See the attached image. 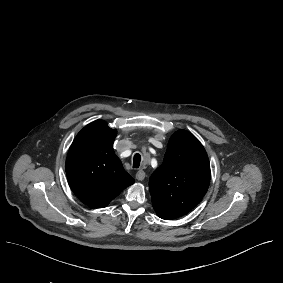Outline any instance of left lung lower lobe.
Here are the masks:
<instances>
[{
    "instance_id": "obj_1",
    "label": "left lung lower lobe",
    "mask_w": 283,
    "mask_h": 283,
    "mask_svg": "<svg viewBox=\"0 0 283 283\" xmlns=\"http://www.w3.org/2000/svg\"><path fill=\"white\" fill-rule=\"evenodd\" d=\"M156 213L162 219H174V218H178L182 216V215L167 213V212H156Z\"/></svg>"
}]
</instances>
